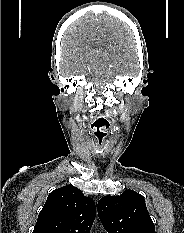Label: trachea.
<instances>
[{
	"label": "trachea",
	"mask_w": 184,
	"mask_h": 233,
	"mask_svg": "<svg viewBox=\"0 0 184 233\" xmlns=\"http://www.w3.org/2000/svg\"><path fill=\"white\" fill-rule=\"evenodd\" d=\"M94 135L96 137V140L99 144H102L105 136H106V130L102 129L101 127H98L94 130Z\"/></svg>",
	"instance_id": "obj_1"
}]
</instances>
